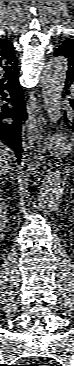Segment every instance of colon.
<instances>
[{"label": "colon", "mask_w": 74, "mask_h": 366, "mask_svg": "<svg viewBox=\"0 0 74 366\" xmlns=\"http://www.w3.org/2000/svg\"><path fill=\"white\" fill-rule=\"evenodd\" d=\"M27 366H38V365L30 364V365H27ZM39 366H45V365H39Z\"/></svg>", "instance_id": "5ec220e1"}]
</instances>
